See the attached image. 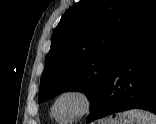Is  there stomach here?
Wrapping results in <instances>:
<instances>
[{
    "label": "stomach",
    "instance_id": "0dacf381",
    "mask_svg": "<svg viewBox=\"0 0 156 124\" xmlns=\"http://www.w3.org/2000/svg\"><path fill=\"white\" fill-rule=\"evenodd\" d=\"M101 124H134V120L126 118L123 114H118L115 118L103 121Z\"/></svg>",
    "mask_w": 156,
    "mask_h": 124
}]
</instances>
